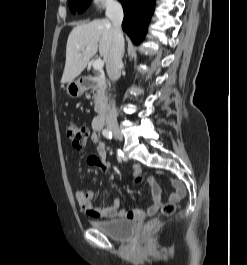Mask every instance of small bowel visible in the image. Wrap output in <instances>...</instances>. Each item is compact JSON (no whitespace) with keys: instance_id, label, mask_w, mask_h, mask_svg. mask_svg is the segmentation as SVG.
I'll return each mask as SVG.
<instances>
[{"instance_id":"c3829d8e","label":"small bowel","mask_w":247,"mask_h":265,"mask_svg":"<svg viewBox=\"0 0 247 265\" xmlns=\"http://www.w3.org/2000/svg\"><path fill=\"white\" fill-rule=\"evenodd\" d=\"M90 140L97 145V155H91L87 158V162L90 166L98 167L99 169L110 172L113 170L112 164L105 160V144L101 141L99 134L95 131L90 135ZM134 173L140 172V167L135 165L133 167ZM152 186V196L153 203L147 209L143 211L140 209H121L120 199L114 198L106 207H97L93 204L94 192L93 191H83L77 190L75 192V198L80 206L83 213L93 218H127L134 221L140 222L148 216L155 215L161 204V193L159 186L153 182ZM174 192L170 195L169 200L177 202L182 199L186 194V189L180 182L174 183Z\"/></svg>"}]
</instances>
